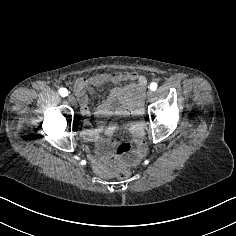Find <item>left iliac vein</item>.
Listing matches in <instances>:
<instances>
[{
  "mask_svg": "<svg viewBox=\"0 0 236 236\" xmlns=\"http://www.w3.org/2000/svg\"><path fill=\"white\" fill-rule=\"evenodd\" d=\"M149 97H150L149 100H150L151 102H156V101H157L158 94H157V92L152 91V92H150Z\"/></svg>",
  "mask_w": 236,
  "mask_h": 236,
  "instance_id": "left-iliac-vein-1",
  "label": "left iliac vein"
}]
</instances>
